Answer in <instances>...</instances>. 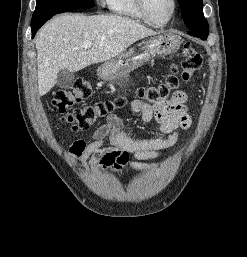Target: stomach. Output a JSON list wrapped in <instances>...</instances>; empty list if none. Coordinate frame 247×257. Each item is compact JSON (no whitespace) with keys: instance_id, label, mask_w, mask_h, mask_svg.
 Listing matches in <instances>:
<instances>
[{"instance_id":"1","label":"stomach","mask_w":247,"mask_h":257,"mask_svg":"<svg viewBox=\"0 0 247 257\" xmlns=\"http://www.w3.org/2000/svg\"><path fill=\"white\" fill-rule=\"evenodd\" d=\"M139 46L138 51L132 48L102 64L97 70L98 77L106 81L124 77L157 54L175 52L180 46V39L175 35H163L150 38Z\"/></svg>"}]
</instances>
